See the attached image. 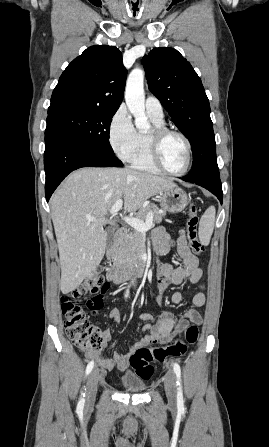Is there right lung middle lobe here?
<instances>
[{"label":"right lung middle lobe","mask_w":269,"mask_h":447,"mask_svg":"<svg viewBox=\"0 0 269 447\" xmlns=\"http://www.w3.org/2000/svg\"><path fill=\"white\" fill-rule=\"evenodd\" d=\"M117 110L65 109L48 113L47 128L112 152L108 140L110 123Z\"/></svg>","instance_id":"dd1d6c3e"}]
</instances>
